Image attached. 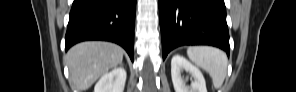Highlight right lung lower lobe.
Listing matches in <instances>:
<instances>
[{"label": "right lung lower lobe", "instance_id": "1", "mask_svg": "<svg viewBox=\"0 0 296 92\" xmlns=\"http://www.w3.org/2000/svg\"><path fill=\"white\" fill-rule=\"evenodd\" d=\"M136 0H74L65 48L85 40L121 45L133 61Z\"/></svg>", "mask_w": 296, "mask_h": 92}]
</instances>
